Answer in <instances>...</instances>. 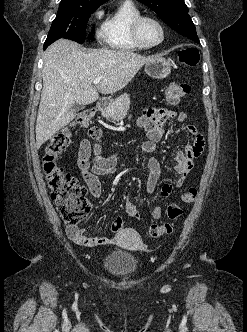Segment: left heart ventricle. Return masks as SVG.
<instances>
[{
	"mask_svg": "<svg viewBox=\"0 0 247 332\" xmlns=\"http://www.w3.org/2000/svg\"><path fill=\"white\" fill-rule=\"evenodd\" d=\"M142 40L147 44H154L161 38V31L158 25L152 20H145L140 27Z\"/></svg>",
	"mask_w": 247,
	"mask_h": 332,
	"instance_id": "b2bd125f",
	"label": "left heart ventricle"
}]
</instances>
